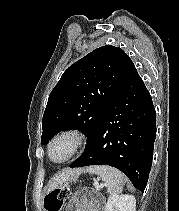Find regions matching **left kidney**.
<instances>
[{
    "mask_svg": "<svg viewBox=\"0 0 179 211\" xmlns=\"http://www.w3.org/2000/svg\"><path fill=\"white\" fill-rule=\"evenodd\" d=\"M105 211H136V199L132 195L110 196Z\"/></svg>",
    "mask_w": 179,
    "mask_h": 211,
    "instance_id": "5707ae66",
    "label": "left kidney"
}]
</instances>
